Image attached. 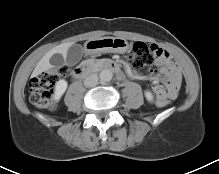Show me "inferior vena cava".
I'll list each match as a JSON object with an SVG mask.
<instances>
[{
    "label": "inferior vena cava",
    "instance_id": "obj_1",
    "mask_svg": "<svg viewBox=\"0 0 219 174\" xmlns=\"http://www.w3.org/2000/svg\"><path fill=\"white\" fill-rule=\"evenodd\" d=\"M98 79L97 74H90L84 79V85L86 87H95L98 83Z\"/></svg>",
    "mask_w": 219,
    "mask_h": 174
}]
</instances>
